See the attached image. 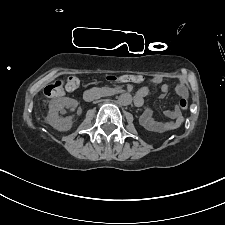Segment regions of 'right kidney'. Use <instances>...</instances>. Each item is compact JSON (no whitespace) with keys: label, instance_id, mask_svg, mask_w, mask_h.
Masks as SVG:
<instances>
[{"label":"right kidney","instance_id":"right-kidney-1","mask_svg":"<svg viewBox=\"0 0 225 225\" xmlns=\"http://www.w3.org/2000/svg\"><path fill=\"white\" fill-rule=\"evenodd\" d=\"M78 102L69 97H62L53 99L49 103V111L47 115V122L58 131H68L72 127V117L60 118L59 111L64 107L76 108Z\"/></svg>","mask_w":225,"mask_h":225}]
</instances>
